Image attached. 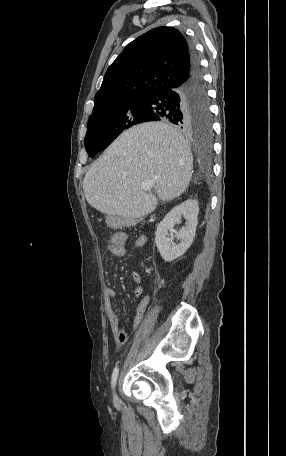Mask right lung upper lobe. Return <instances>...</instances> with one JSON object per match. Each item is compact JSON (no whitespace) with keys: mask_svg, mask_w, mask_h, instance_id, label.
I'll return each mask as SVG.
<instances>
[{"mask_svg":"<svg viewBox=\"0 0 286 456\" xmlns=\"http://www.w3.org/2000/svg\"><path fill=\"white\" fill-rule=\"evenodd\" d=\"M190 46L175 28L158 27L129 43L105 73L92 113L131 97H146L186 80Z\"/></svg>","mask_w":286,"mask_h":456,"instance_id":"obj_1","label":"right lung upper lobe"}]
</instances>
